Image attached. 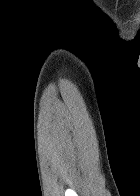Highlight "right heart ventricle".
Listing matches in <instances>:
<instances>
[{"instance_id": "right-heart-ventricle-1", "label": "right heart ventricle", "mask_w": 140, "mask_h": 196, "mask_svg": "<svg viewBox=\"0 0 140 196\" xmlns=\"http://www.w3.org/2000/svg\"><path fill=\"white\" fill-rule=\"evenodd\" d=\"M96 192H107V191H96Z\"/></svg>"}]
</instances>
